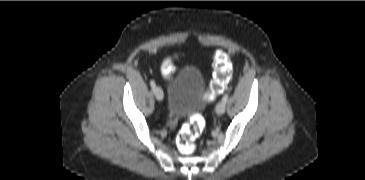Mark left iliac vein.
Wrapping results in <instances>:
<instances>
[{
    "instance_id": "obj_1",
    "label": "left iliac vein",
    "mask_w": 365,
    "mask_h": 180,
    "mask_svg": "<svg viewBox=\"0 0 365 180\" xmlns=\"http://www.w3.org/2000/svg\"><path fill=\"white\" fill-rule=\"evenodd\" d=\"M226 103L223 101H220L216 106V113L218 115H222L225 112Z\"/></svg>"
}]
</instances>
